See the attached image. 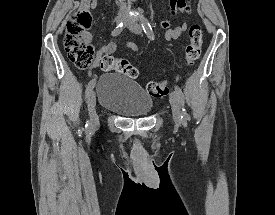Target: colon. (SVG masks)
<instances>
[{
  "instance_id": "colon-1",
  "label": "colon",
  "mask_w": 275,
  "mask_h": 215,
  "mask_svg": "<svg viewBox=\"0 0 275 215\" xmlns=\"http://www.w3.org/2000/svg\"><path fill=\"white\" fill-rule=\"evenodd\" d=\"M92 0H81L80 6L73 12L66 23L64 48L70 60L79 67H87L92 64L94 50L90 44L87 28L91 24L90 4ZM203 31L199 24H193L189 28L188 41L185 47V60L191 67L201 54ZM100 67L104 71L115 70L128 78L137 76V69L126 58H117L111 54H105L100 61ZM147 91L151 97L159 98L168 94V84L165 81H150Z\"/></svg>"
}]
</instances>
